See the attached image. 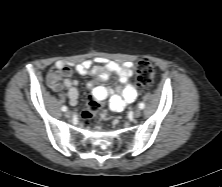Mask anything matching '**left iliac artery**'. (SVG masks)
<instances>
[{
  "mask_svg": "<svg viewBox=\"0 0 222 187\" xmlns=\"http://www.w3.org/2000/svg\"><path fill=\"white\" fill-rule=\"evenodd\" d=\"M145 107V104L143 103V102H141L140 104H139V108L140 109H143Z\"/></svg>",
  "mask_w": 222,
  "mask_h": 187,
  "instance_id": "obj_1",
  "label": "left iliac artery"
}]
</instances>
